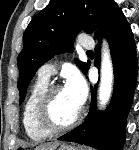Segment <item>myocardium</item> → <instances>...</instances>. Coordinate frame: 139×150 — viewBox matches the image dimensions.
I'll return each instance as SVG.
<instances>
[{
    "mask_svg": "<svg viewBox=\"0 0 139 150\" xmlns=\"http://www.w3.org/2000/svg\"><path fill=\"white\" fill-rule=\"evenodd\" d=\"M61 89H63V87L58 84L48 85L46 89L43 91L42 95L40 96L36 106L35 118L37 125L39 126L40 129L50 134L67 131L76 127L80 123L84 115V109L83 107H80V110L75 116V118L68 124L57 125L50 119L49 107L52 97L57 91Z\"/></svg>",
    "mask_w": 139,
    "mask_h": 150,
    "instance_id": "f54148a6",
    "label": "myocardium"
}]
</instances>
